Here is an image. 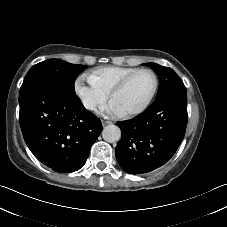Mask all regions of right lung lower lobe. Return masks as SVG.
I'll use <instances>...</instances> for the list:
<instances>
[{
	"instance_id": "1",
	"label": "right lung lower lobe",
	"mask_w": 227,
	"mask_h": 227,
	"mask_svg": "<svg viewBox=\"0 0 227 227\" xmlns=\"http://www.w3.org/2000/svg\"><path fill=\"white\" fill-rule=\"evenodd\" d=\"M19 105L24 140L40 162L59 173L83 167L102 124L78 96L38 84L19 94Z\"/></svg>"
}]
</instances>
